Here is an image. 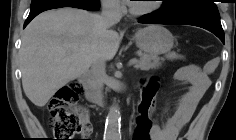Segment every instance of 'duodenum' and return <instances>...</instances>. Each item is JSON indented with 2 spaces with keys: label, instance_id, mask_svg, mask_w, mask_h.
Listing matches in <instances>:
<instances>
[{
  "label": "duodenum",
  "instance_id": "duodenum-1",
  "mask_svg": "<svg viewBox=\"0 0 236 140\" xmlns=\"http://www.w3.org/2000/svg\"><path fill=\"white\" fill-rule=\"evenodd\" d=\"M79 82L84 88L85 99L90 103H101L102 100L99 96L98 91L96 90L93 77L90 72H84L79 76Z\"/></svg>",
  "mask_w": 236,
  "mask_h": 140
}]
</instances>
